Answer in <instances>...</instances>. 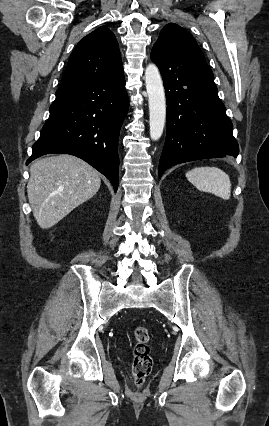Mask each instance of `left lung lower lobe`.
<instances>
[{
	"label": "left lung lower lobe",
	"instance_id": "0a47b994",
	"mask_svg": "<svg viewBox=\"0 0 269 426\" xmlns=\"http://www.w3.org/2000/svg\"><path fill=\"white\" fill-rule=\"evenodd\" d=\"M150 56L161 72L167 101V135L159 177L180 163L237 157L239 146L232 134V122L207 62L155 45Z\"/></svg>",
	"mask_w": 269,
	"mask_h": 426
}]
</instances>
